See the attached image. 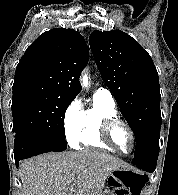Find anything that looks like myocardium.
Instances as JSON below:
<instances>
[{
  "label": "myocardium",
  "instance_id": "1",
  "mask_svg": "<svg viewBox=\"0 0 178 195\" xmlns=\"http://www.w3.org/2000/svg\"><path fill=\"white\" fill-rule=\"evenodd\" d=\"M119 125L124 126L131 136L132 146H131V149L129 151H123V150L119 149L118 147L115 146V144L112 141L113 130ZM100 137H101L102 141L108 147L113 149V151L121 153V154L126 155V154L132 153L135 149V146H136V135H135L133 128L126 121H124L118 117H110V118H107L103 121L102 126H101V131H100Z\"/></svg>",
  "mask_w": 178,
  "mask_h": 195
}]
</instances>
